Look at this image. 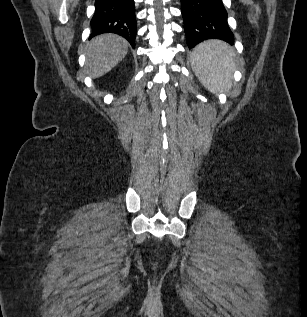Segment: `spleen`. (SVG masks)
<instances>
[{
	"instance_id": "spleen-1",
	"label": "spleen",
	"mask_w": 307,
	"mask_h": 317,
	"mask_svg": "<svg viewBox=\"0 0 307 317\" xmlns=\"http://www.w3.org/2000/svg\"><path fill=\"white\" fill-rule=\"evenodd\" d=\"M193 70L211 92H224L231 87L234 54L224 42L210 40L198 45L191 54Z\"/></svg>"
}]
</instances>
